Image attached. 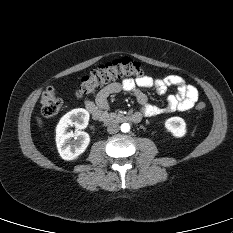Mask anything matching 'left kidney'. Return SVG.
<instances>
[{"label": "left kidney", "mask_w": 233, "mask_h": 233, "mask_svg": "<svg viewBox=\"0 0 233 233\" xmlns=\"http://www.w3.org/2000/svg\"><path fill=\"white\" fill-rule=\"evenodd\" d=\"M165 128L173 136L180 138L186 134V123L181 117H171L165 121Z\"/></svg>", "instance_id": "5707ae66"}]
</instances>
